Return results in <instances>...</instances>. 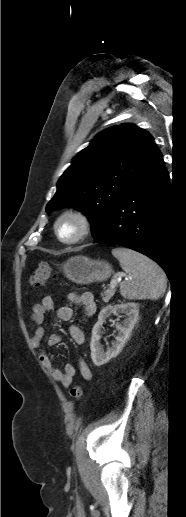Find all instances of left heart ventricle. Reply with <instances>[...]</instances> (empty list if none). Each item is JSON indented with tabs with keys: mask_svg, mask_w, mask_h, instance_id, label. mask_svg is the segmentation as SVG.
<instances>
[{
	"mask_svg": "<svg viewBox=\"0 0 186 517\" xmlns=\"http://www.w3.org/2000/svg\"><path fill=\"white\" fill-rule=\"evenodd\" d=\"M79 230V225L75 220L65 219L59 226L60 235L65 239L74 237Z\"/></svg>",
	"mask_w": 186,
	"mask_h": 517,
	"instance_id": "left-heart-ventricle-1",
	"label": "left heart ventricle"
}]
</instances>
